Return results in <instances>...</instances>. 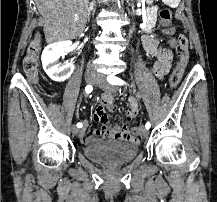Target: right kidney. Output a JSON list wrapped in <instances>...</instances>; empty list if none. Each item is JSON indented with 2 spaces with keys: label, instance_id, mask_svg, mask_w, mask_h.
Segmentation results:
<instances>
[{
  "label": "right kidney",
  "instance_id": "ca27d5eb",
  "mask_svg": "<svg viewBox=\"0 0 217 202\" xmlns=\"http://www.w3.org/2000/svg\"><path fill=\"white\" fill-rule=\"evenodd\" d=\"M72 42L70 40H65V42H55V44H49L46 46L42 52L41 60L43 68L55 82H62V80H67L70 74L74 70L73 62H64V64H58L59 58L63 54H67L69 48H71Z\"/></svg>",
  "mask_w": 217,
  "mask_h": 202
}]
</instances>
